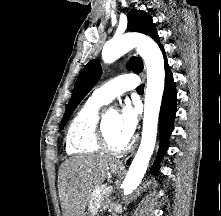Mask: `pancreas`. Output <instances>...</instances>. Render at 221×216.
Listing matches in <instances>:
<instances>
[{"label": "pancreas", "instance_id": "obj_1", "mask_svg": "<svg viewBox=\"0 0 221 216\" xmlns=\"http://www.w3.org/2000/svg\"><path fill=\"white\" fill-rule=\"evenodd\" d=\"M101 191V194H96L95 192H93L90 195V200H89V211L95 215L98 213L99 210H101L103 207H107L108 206V199L107 197L109 196V193H104V187H99L98 188ZM106 199V200H105Z\"/></svg>", "mask_w": 221, "mask_h": 216}]
</instances>
